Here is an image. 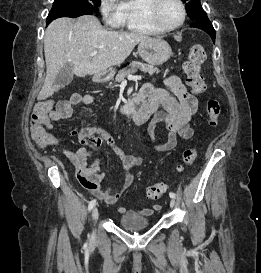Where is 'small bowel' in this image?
I'll use <instances>...</instances> for the list:
<instances>
[{
	"mask_svg": "<svg viewBox=\"0 0 261 273\" xmlns=\"http://www.w3.org/2000/svg\"><path fill=\"white\" fill-rule=\"evenodd\" d=\"M163 84L168 87L172 93L164 90H156L152 83H146L143 85L140 94L150 99L154 111V115L147 129L148 138L157 151L168 152L176 147L178 137L186 140L193 137L194 131L189 122L198 109V100L186 89L178 76H170L163 79ZM75 97L77 101L65 102L70 103L71 106L79 102H83L84 104H91L93 102V96L91 94H84L82 96L75 95ZM159 106H162L163 109L157 110ZM61 119L63 118L60 117L58 113H51L46 120V129L52 130L53 121ZM158 123H164L168 130V139L162 144L154 142L155 129ZM71 134L77 137L82 147L76 152L65 150L64 154L75 166L79 182L99 200L109 205H116L123 192L129 189L133 184L131 168L141 166L143 164V158L125 154L123 150L118 147L113 136L101 128L84 127L80 130H72ZM104 144L109 146L118 157L120 167L124 172L122 188L116 192L104 190L101 187V182L105 179L106 173L103 169V160L97 154ZM90 158H93V161L88 165L87 161ZM116 209L121 214L126 212L123 206H117ZM159 209V205H153L139 212L142 215H150Z\"/></svg>",
	"mask_w": 261,
	"mask_h": 273,
	"instance_id": "c3829d8e",
	"label": "small bowel"
}]
</instances>
